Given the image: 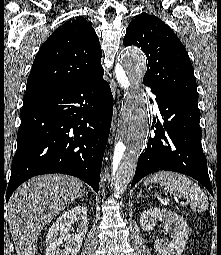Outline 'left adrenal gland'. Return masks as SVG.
<instances>
[{"label":"left adrenal gland","mask_w":221,"mask_h":255,"mask_svg":"<svg viewBox=\"0 0 221 255\" xmlns=\"http://www.w3.org/2000/svg\"><path fill=\"white\" fill-rule=\"evenodd\" d=\"M140 197H141V198L143 197V195H142L141 192L137 195V199L140 198Z\"/></svg>","instance_id":"1"}]
</instances>
